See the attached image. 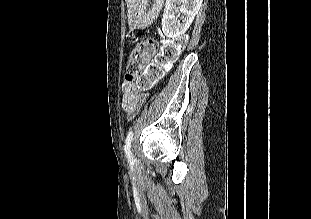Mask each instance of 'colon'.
I'll use <instances>...</instances> for the list:
<instances>
[{"instance_id":"obj_1","label":"colon","mask_w":311,"mask_h":219,"mask_svg":"<svg viewBox=\"0 0 311 219\" xmlns=\"http://www.w3.org/2000/svg\"><path fill=\"white\" fill-rule=\"evenodd\" d=\"M185 42L186 39L184 36L167 39L160 53L156 55L154 62L148 66L146 73L140 76L138 87L140 89H146L155 83L162 76L165 68L180 56L184 49ZM154 51L155 43L152 39L148 38L141 41L128 59V73L132 75L139 74L144 67L145 60L152 55Z\"/></svg>"}]
</instances>
